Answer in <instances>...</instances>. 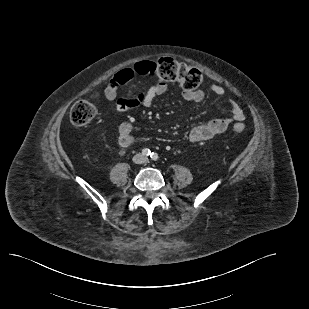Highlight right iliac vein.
Masks as SVG:
<instances>
[{
    "label": "right iliac vein",
    "instance_id": "1",
    "mask_svg": "<svg viewBox=\"0 0 309 309\" xmlns=\"http://www.w3.org/2000/svg\"><path fill=\"white\" fill-rule=\"evenodd\" d=\"M133 161H134L136 164H140V163L143 161L142 155L137 154V155L133 158Z\"/></svg>",
    "mask_w": 309,
    "mask_h": 309
}]
</instances>
